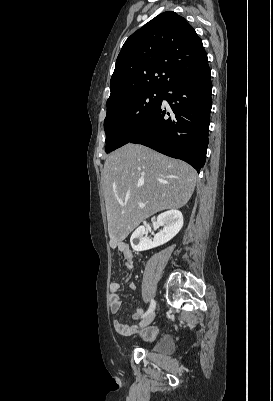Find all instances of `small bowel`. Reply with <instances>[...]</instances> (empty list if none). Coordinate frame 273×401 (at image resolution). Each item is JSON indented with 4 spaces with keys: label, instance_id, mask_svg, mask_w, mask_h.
<instances>
[{
    "label": "small bowel",
    "instance_id": "1",
    "mask_svg": "<svg viewBox=\"0 0 273 401\" xmlns=\"http://www.w3.org/2000/svg\"><path fill=\"white\" fill-rule=\"evenodd\" d=\"M111 247L119 251L122 254V258L125 264V267L129 270L134 268V255L130 248V246L121 241H114L111 243ZM127 285L131 290H135L136 285L133 281H127ZM110 291V312L112 314H117L121 310V299L119 296L120 284L117 281H111L109 284ZM145 304H152L154 298L152 295H145L143 298ZM145 314V310L143 308H136L132 314V318L135 321H139ZM114 330L123 335V336H132L137 334H142L144 337L149 339H154L157 335V330L155 328H143L140 324H127L119 319H114L113 322Z\"/></svg>",
    "mask_w": 273,
    "mask_h": 401
}]
</instances>
